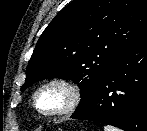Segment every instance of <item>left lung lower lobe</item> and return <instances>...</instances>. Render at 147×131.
<instances>
[{"mask_svg": "<svg viewBox=\"0 0 147 131\" xmlns=\"http://www.w3.org/2000/svg\"><path fill=\"white\" fill-rule=\"evenodd\" d=\"M71 118L147 131V38L113 62L90 102Z\"/></svg>", "mask_w": 147, "mask_h": 131, "instance_id": "0a47b994", "label": "left lung lower lobe"}]
</instances>
